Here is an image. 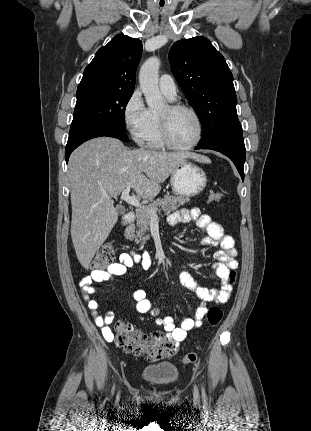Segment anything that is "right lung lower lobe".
<instances>
[{
  "label": "right lung lower lobe",
  "mask_w": 311,
  "mask_h": 431,
  "mask_svg": "<svg viewBox=\"0 0 311 431\" xmlns=\"http://www.w3.org/2000/svg\"><path fill=\"white\" fill-rule=\"evenodd\" d=\"M100 136H109L118 138L122 141H129L126 134L125 129H121L118 127H114L107 124L102 123H91L87 125H83L77 127L73 130H70L68 142L65 149V159L68 163V159L70 154L76 149L79 145L84 143L85 141L100 137Z\"/></svg>",
  "instance_id": "obj_1"
}]
</instances>
